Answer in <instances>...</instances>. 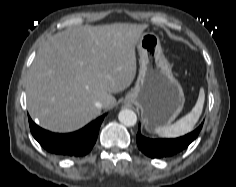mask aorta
Instances as JSON below:
<instances>
[{
  "instance_id": "aorta-1",
  "label": "aorta",
  "mask_w": 236,
  "mask_h": 187,
  "mask_svg": "<svg viewBox=\"0 0 236 187\" xmlns=\"http://www.w3.org/2000/svg\"><path fill=\"white\" fill-rule=\"evenodd\" d=\"M119 121L125 126H134L137 122V115L130 109H123L118 115Z\"/></svg>"
}]
</instances>
